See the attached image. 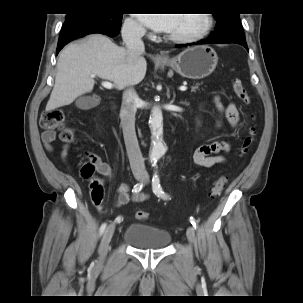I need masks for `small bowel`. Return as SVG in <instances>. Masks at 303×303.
I'll list each match as a JSON object with an SVG mask.
<instances>
[{
	"label": "small bowel",
	"mask_w": 303,
	"mask_h": 303,
	"mask_svg": "<svg viewBox=\"0 0 303 303\" xmlns=\"http://www.w3.org/2000/svg\"><path fill=\"white\" fill-rule=\"evenodd\" d=\"M220 112V117L215 123V127L219 128L222 125L223 116L228 120L232 127H236L240 120V113L234 104H229L227 107H222L218 101L215 99ZM196 126L199 128L201 126V119L197 118ZM57 137L56 130H47L42 133V143L44 148L51 152L53 151V142ZM230 150V144L223 140H212L208 144L201 145L197 147L193 153L192 161L196 166L204 168H212L218 164H223L226 161L225 155ZM69 155V146L63 145L60 151V158L63 162H67ZM98 171L102 175L100 181L105 185L112 176V169L109 164L97 161ZM118 203L120 205L127 204L129 202H140L146 199V194L143 192H137L131 194L130 186L128 184H122L117 190Z\"/></svg>",
	"instance_id": "c3829d8e"
}]
</instances>
